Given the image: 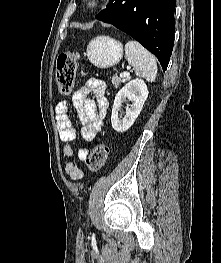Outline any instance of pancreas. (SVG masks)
Listing matches in <instances>:
<instances>
[{"label": "pancreas", "mask_w": 221, "mask_h": 263, "mask_svg": "<svg viewBox=\"0 0 221 263\" xmlns=\"http://www.w3.org/2000/svg\"><path fill=\"white\" fill-rule=\"evenodd\" d=\"M111 82H112V85L115 87V88H118L120 83L122 82L121 78H119L118 76L114 75L112 78H111Z\"/></svg>", "instance_id": "pancreas-1"}]
</instances>
